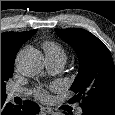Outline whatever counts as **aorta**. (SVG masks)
Returning a JSON list of instances; mask_svg holds the SVG:
<instances>
[{
  "mask_svg": "<svg viewBox=\"0 0 115 115\" xmlns=\"http://www.w3.org/2000/svg\"><path fill=\"white\" fill-rule=\"evenodd\" d=\"M16 65L24 76H35L44 68V57L36 49H25L18 53ZM53 115H64L62 112H54Z\"/></svg>",
  "mask_w": 115,
  "mask_h": 115,
  "instance_id": "1",
  "label": "aorta"
}]
</instances>
